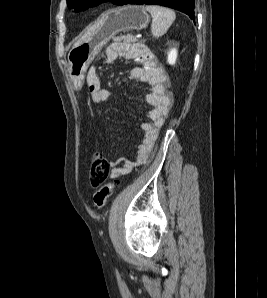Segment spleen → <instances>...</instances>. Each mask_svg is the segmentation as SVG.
<instances>
[{
    "label": "spleen",
    "instance_id": "3e777b00",
    "mask_svg": "<svg viewBox=\"0 0 267 298\" xmlns=\"http://www.w3.org/2000/svg\"><path fill=\"white\" fill-rule=\"evenodd\" d=\"M144 9L148 11L153 18L151 31L156 38L163 36L176 18L175 12L166 7L147 5Z\"/></svg>",
    "mask_w": 267,
    "mask_h": 298
}]
</instances>
